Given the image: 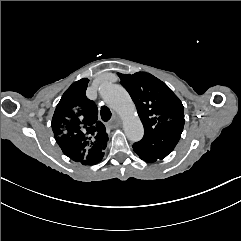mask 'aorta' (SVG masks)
Listing matches in <instances>:
<instances>
[{"instance_id": "aorta-1", "label": "aorta", "mask_w": 241, "mask_h": 241, "mask_svg": "<svg viewBox=\"0 0 241 241\" xmlns=\"http://www.w3.org/2000/svg\"><path fill=\"white\" fill-rule=\"evenodd\" d=\"M105 102L123 118V128L127 138L137 142L144 135L140 118L135 115V105L128 92L120 85H109L102 90Z\"/></svg>"}]
</instances>
